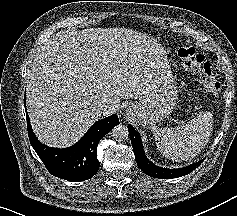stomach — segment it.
<instances>
[{"mask_svg":"<svg viewBox=\"0 0 237 216\" xmlns=\"http://www.w3.org/2000/svg\"><path fill=\"white\" fill-rule=\"evenodd\" d=\"M176 99V91L170 85H155L129 107L128 114L142 126L153 127L172 112Z\"/></svg>","mask_w":237,"mask_h":216,"instance_id":"obj_1","label":"stomach"}]
</instances>
